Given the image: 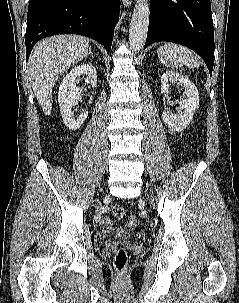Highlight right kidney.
Masks as SVG:
<instances>
[{
	"mask_svg": "<svg viewBox=\"0 0 239 303\" xmlns=\"http://www.w3.org/2000/svg\"><path fill=\"white\" fill-rule=\"evenodd\" d=\"M81 75L85 76V81L93 88L97 86L96 68L92 64H82L74 67L64 77L58 91V103L61 116L64 124L73 131L79 129L88 117L87 111L82 112L78 116H75L72 111V106L80 96L79 89L75 84V79Z\"/></svg>",
	"mask_w": 239,
	"mask_h": 303,
	"instance_id": "obj_1",
	"label": "right kidney"
}]
</instances>
